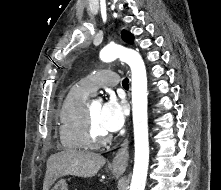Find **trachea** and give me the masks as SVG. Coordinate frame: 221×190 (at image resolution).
<instances>
[{"instance_id":"3493384b","label":"trachea","mask_w":221,"mask_h":190,"mask_svg":"<svg viewBox=\"0 0 221 190\" xmlns=\"http://www.w3.org/2000/svg\"><path fill=\"white\" fill-rule=\"evenodd\" d=\"M122 85H123L124 88H128L129 87V80H128V78H125L122 81Z\"/></svg>"}]
</instances>
